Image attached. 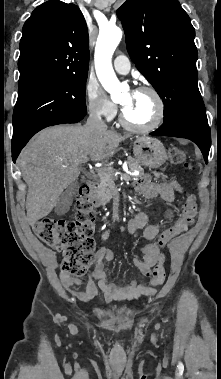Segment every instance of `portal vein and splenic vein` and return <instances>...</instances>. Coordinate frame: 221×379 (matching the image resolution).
Returning <instances> with one entry per match:
<instances>
[{
	"instance_id": "18ae733b",
	"label": "portal vein and splenic vein",
	"mask_w": 221,
	"mask_h": 379,
	"mask_svg": "<svg viewBox=\"0 0 221 379\" xmlns=\"http://www.w3.org/2000/svg\"><path fill=\"white\" fill-rule=\"evenodd\" d=\"M125 173L126 174H129V175H134V173L128 171V170H125ZM102 174V170H98V175H101Z\"/></svg>"
}]
</instances>
